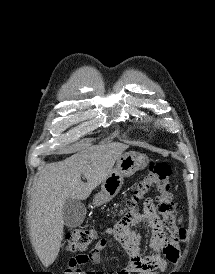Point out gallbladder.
<instances>
[{
  "mask_svg": "<svg viewBox=\"0 0 215 274\" xmlns=\"http://www.w3.org/2000/svg\"><path fill=\"white\" fill-rule=\"evenodd\" d=\"M62 217L67 227L79 226L86 217L85 205L79 200L66 199L62 209Z\"/></svg>",
  "mask_w": 215,
  "mask_h": 274,
  "instance_id": "1",
  "label": "gallbladder"
}]
</instances>
